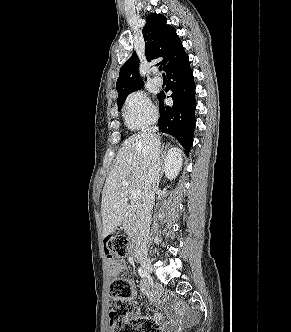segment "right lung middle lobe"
<instances>
[{
    "instance_id": "dd1d6c3e",
    "label": "right lung middle lobe",
    "mask_w": 291,
    "mask_h": 332,
    "mask_svg": "<svg viewBox=\"0 0 291 332\" xmlns=\"http://www.w3.org/2000/svg\"><path fill=\"white\" fill-rule=\"evenodd\" d=\"M136 91V90H135ZM126 97L122 98L121 100L117 101V105H118V110H121L124 100ZM121 140H123V137H121Z\"/></svg>"
}]
</instances>
